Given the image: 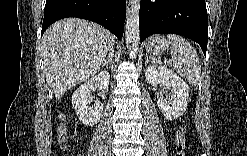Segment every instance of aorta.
I'll return each instance as SVG.
<instances>
[{"mask_svg":"<svg viewBox=\"0 0 247 156\" xmlns=\"http://www.w3.org/2000/svg\"><path fill=\"white\" fill-rule=\"evenodd\" d=\"M139 11L140 0H130L127 7L125 39L130 58H135L139 49Z\"/></svg>","mask_w":247,"mask_h":156,"instance_id":"762f6f07","label":"aorta"}]
</instances>
